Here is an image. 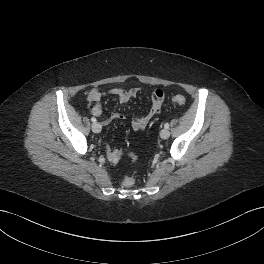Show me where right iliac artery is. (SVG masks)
<instances>
[{
	"mask_svg": "<svg viewBox=\"0 0 264 264\" xmlns=\"http://www.w3.org/2000/svg\"><path fill=\"white\" fill-rule=\"evenodd\" d=\"M91 121H92L93 123H95V122H96V118H95V117H92V118H91Z\"/></svg>",
	"mask_w": 264,
	"mask_h": 264,
	"instance_id": "82829eb1",
	"label": "right iliac artery"
}]
</instances>
